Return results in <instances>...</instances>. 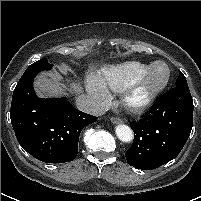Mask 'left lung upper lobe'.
<instances>
[{"mask_svg":"<svg viewBox=\"0 0 201 201\" xmlns=\"http://www.w3.org/2000/svg\"><path fill=\"white\" fill-rule=\"evenodd\" d=\"M176 86H188L185 76L180 72L179 77L176 81Z\"/></svg>","mask_w":201,"mask_h":201,"instance_id":"5c2ea615","label":"left lung upper lobe"}]
</instances>
